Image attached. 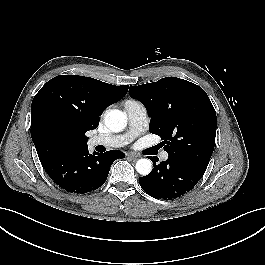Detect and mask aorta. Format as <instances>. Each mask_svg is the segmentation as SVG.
<instances>
[{
    "label": "aorta",
    "instance_id": "aorta-1",
    "mask_svg": "<svg viewBox=\"0 0 265 265\" xmlns=\"http://www.w3.org/2000/svg\"><path fill=\"white\" fill-rule=\"evenodd\" d=\"M105 125L113 132H121L127 124V116L120 110L114 109L105 115ZM141 175H148L152 171V162L149 159H139L135 166Z\"/></svg>",
    "mask_w": 265,
    "mask_h": 265
}]
</instances>
